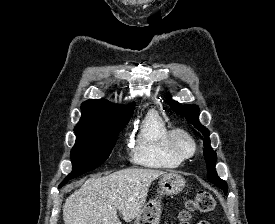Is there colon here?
I'll use <instances>...</instances> for the list:
<instances>
[{"label":"colon","mask_w":275,"mask_h":224,"mask_svg":"<svg viewBox=\"0 0 275 224\" xmlns=\"http://www.w3.org/2000/svg\"><path fill=\"white\" fill-rule=\"evenodd\" d=\"M214 206L215 200L213 196L209 192L199 191L187 202L185 209L179 214V224H189L193 213H207L212 211Z\"/></svg>","instance_id":"5ec220e1"}]
</instances>
